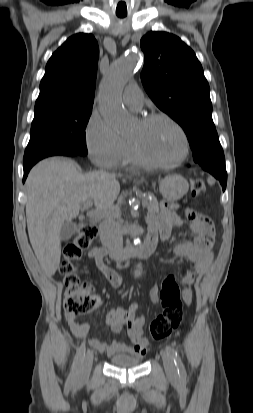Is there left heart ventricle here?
<instances>
[{
    "mask_svg": "<svg viewBox=\"0 0 253 413\" xmlns=\"http://www.w3.org/2000/svg\"><path fill=\"white\" fill-rule=\"evenodd\" d=\"M131 139L139 143L147 157L160 163L175 161L183 149L181 136L164 120H157L148 125L138 123Z\"/></svg>",
    "mask_w": 253,
    "mask_h": 413,
    "instance_id": "left-heart-ventricle-1",
    "label": "left heart ventricle"
}]
</instances>
